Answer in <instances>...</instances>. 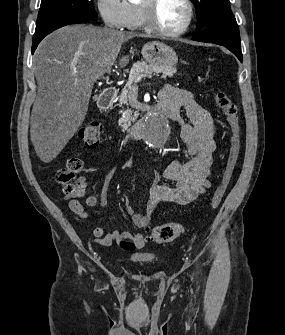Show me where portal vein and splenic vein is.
Listing matches in <instances>:
<instances>
[{
    "mask_svg": "<svg viewBox=\"0 0 285 335\" xmlns=\"http://www.w3.org/2000/svg\"><path fill=\"white\" fill-rule=\"evenodd\" d=\"M159 72V70H158ZM144 76H148V74H140V76H137V78H135V82H140V80H142V78H144ZM148 78H151V76H148Z\"/></svg>",
    "mask_w": 285,
    "mask_h": 335,
    "instance_id": "18ae733b",
    "label": "portal vein and splenic vein"
}]
</instances>
